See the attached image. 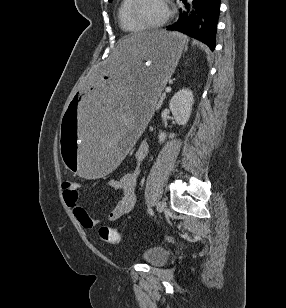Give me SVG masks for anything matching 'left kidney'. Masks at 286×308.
<instances>
[{
	"instance_id": "5707ae66",
	"label": "left kidney",
	"mask_w": 286,
	"mask_h": 308,
	"mask_svg": "<svg viewBox=\"0 0 286 308\" xmlns=\"http://www.w3.org/2000/svg\"><path fill=\"white\" fill-rule=\"evenodd\" d=\"M193 104V94L189 89H182L172 97L169 103V108L178 125H185L188 122ZM174 135V133H171L169 138L174 137ZM167 136L168 135L165 132L161 131L158 136L159 142H164Z\"/></svg>"
}]
</instances>
